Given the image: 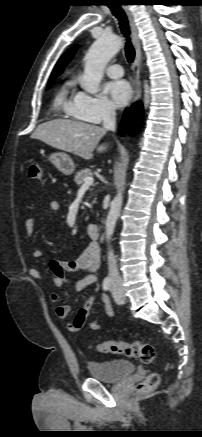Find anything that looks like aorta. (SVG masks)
Wrapping results in <instances>:
<instances>
[{"label": "aorta", "instance_id": "762f6f07", "mask_svg": "<svg viewBox=\"0 0 202 437\" xmlns=\"http://www.w3.org/2000/svg\"><path fill=\"white\" fill-rule=\"evenodd\" d=\"M121 46L122 40L116 35H102L91 45L85 56L84 73L80 82L81 87L86 92L90 94L98 92L104 69L111 58L120 50ZM122 203V192H118L111 202L106 219L105 231L107 239H110L114 232Z\"/></svg>", "mask_w": 202, "mask_h": 437}]
</instances>
